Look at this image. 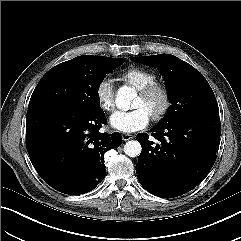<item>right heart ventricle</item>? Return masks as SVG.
Segmentation results:
<instances>
[{
  "mask_svg": "<svg viewBox=\"0 0 241 241\" xmlns=\"http://www.w3.org/2000/svg\"><path fill=\"white\" fill-rule=\"evenodd\" d=\"M121 78L137 90L157 81L154 72L142 67L128 68L121 74Z\"/></svg>",
  "mask_w": 241,
  "mask_h": 241,
  "instance_id": "obj_1",
  "label": "right heart ventricle"
}]
</instances>
